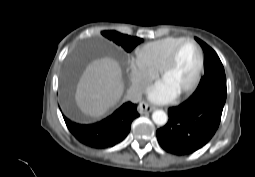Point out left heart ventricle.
<instances>
[{
  "label": "left heart ventricle",
  "instance_id": "1",
  "mask_svg": "<svg viewBox=\"0 0 255 177\" xmlns=\"http://www.w3.org/2000/svg\"><path fill=\"white\" fill-rule=\"evenodd\" d=\"M198 66V50L193 44H185L178 53L175 65L163 80L178 93L193 81Z\"/></svg>",
  "mask_w": 255,
  "mask_h": 177
}]
</instances>
